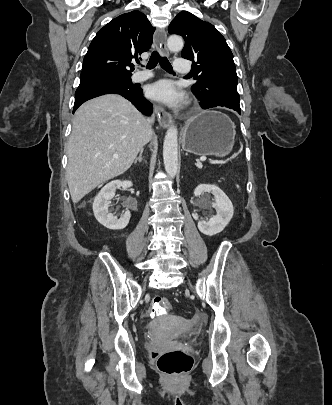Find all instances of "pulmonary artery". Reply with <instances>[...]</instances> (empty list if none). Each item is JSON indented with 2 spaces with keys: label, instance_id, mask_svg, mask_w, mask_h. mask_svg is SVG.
<instances>
[{
  "label": "pulmonary artery",
  "instance_id": "pulmonary-artery-1",
  "mask_svg": "<svg viewBox=\"0 0 332 405\" xmlns=\"http://www.w3.org/2000/svg\"><path fill=\"white\" fill-rule=\"evenodd\" d=\"M175 70L177 73L179 74H188L190 71V66L187 62V60L183 59V58H179L175 61ZM152 77V73L148 72V71H140L137 72L134 76H133V81L135 82H141V81H145L149 78Z\"/></svg>",
  "mask_w": 332,
  "mask_h": 405
}]
</instances>
